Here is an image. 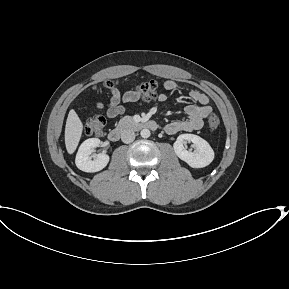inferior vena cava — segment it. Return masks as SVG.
I'll use <instances>...</instances> for the list:
<instances>
[{"mask_svg": "<svg viewBox=\"0 0 289 289\" xmlns=\"http://www.w3.org/2000/svg\"><path fill=\"white\" fill-rule=\"evenodd\" d=\"M134 139H135V133L132 130H124L121 133V140L122 142L126 144L133 142Z\"/></svg>", "mask_w": 289, "mask_h": 289, "instance_id": "602c4592", "label": "inferior vena cava"}]
</instances>
